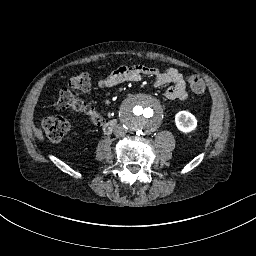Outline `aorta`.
<instances>
[{"instance_id": "762f6f07", "label": "aorta", "mask_w": 256, "mask_h": 256, "mask_svg": "<svg viewBox=\"0 0 256 256\" xmlns=\"http://www.w3.org/2000/svg\"><path fill=\"white\" fill-rule=\"evenodd\" d=\"M124 118L130 128L138 132H147L157 126L161 118V109L155 99L147 95H138L128 101L124 109Z\"/></svg>"}]
</instances>
